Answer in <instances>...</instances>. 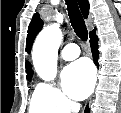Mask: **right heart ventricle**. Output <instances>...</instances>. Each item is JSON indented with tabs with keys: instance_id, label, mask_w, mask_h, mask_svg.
Masks as SVG:
<instances>
[{
	"instance_id": "e07e8e85",
	"label": "right heart ventricle",
	"mask_w": 121,
	"mask_h": 113,
	"mask_svg": "<svg viewBox=\"0 0 121 113\" xmlns=\"http://www.w3.org/2000/svg\"><path fill=\"white\" fill-rule=\"evenodd\" d=\"M29 113H51L49 106L42 100L39 89L36 87L31 95L28 107Z\"/></svg>"
}]
</instances>
